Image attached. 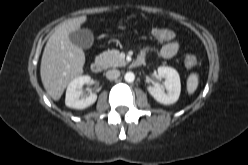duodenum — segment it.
<instances>
[{
    "mask_svg": "<svg viewBox=\"0 0 248 165\" xmlns=\"http://www.w3.org/2000/svg\"><path fill=\"white\" fill-rule=\"evenodd\" d=\"M144 60L142 57H138L135 61H133L132 66L133 67H139L143 64ZM103 60L102 59H96L91 63V71L93 73H100L103 70Z\"/></svg>",
    "mask_w": 248,
    "mask_h": 165,
    "instance_id": "410a0bca",
    "label": "duodenum"
}]
</instances>
